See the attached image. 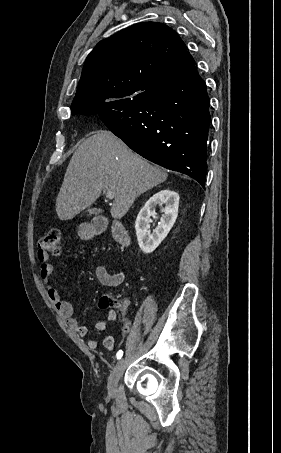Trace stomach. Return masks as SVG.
<instances>
[{"mask_svg": "<svg viewBox=\"0 0 281 453\" xmlns=\"http://www.w3.org/2000/svg\"><path fill=\"white\" fill-rule=\"evenodd\" d=\"M80 235L83 237V235H87V231H84V229H80Z\"/></svg>", "mask_w": 281, "mask_h": 453, "instance_id": "1", "label": "stomach"}]
</instances>
